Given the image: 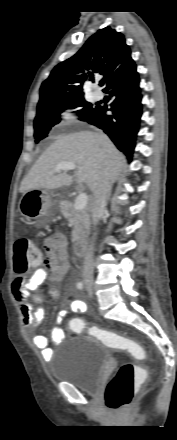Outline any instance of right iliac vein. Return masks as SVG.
<instances>
[{
	"label": "right iliac vein",
	"instance_id": "63e3f726",
	"mask_svg": "<svg viewBox=\"0 0 177 440\" xmlns=\"http://www.w3.org/2000/svg\"><path fill=\"white\" fill-rule=\"evenodd\" d=\"M85 286L89 292H92L94 289L93 283L91 281H86Z\"/></svg>",
	"mask_w": 177,
	"mask_h": 440
}]
</instances>
